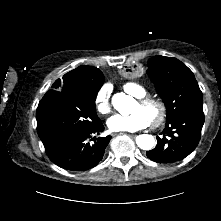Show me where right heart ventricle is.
Masks as SVG:
<instances>
[{
    "instance_id": "obj_1",
    "label": "right heart ventricle",
    "mask_w": 221,
    "mask_h": 221,
    "mask_svg": "<svg viewBox=\"0 0 221 221\" xmlns=\"http://www.w3.org/2000/svg\"><path fill=\"white\" fill-rule=\"evenodd\" d=\"M124 89L136 98L145 97L147 95V91L141 85L134 82L125 83Z\"/></svg>"
}]
</instances>
